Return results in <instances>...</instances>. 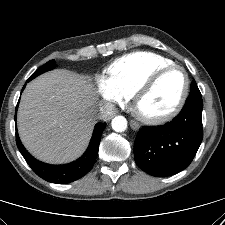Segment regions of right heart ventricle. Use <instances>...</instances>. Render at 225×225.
<instances>
[{
	"label": "right heart ventricle",
	"instance_id": "obj_1",
	"mask_svg": "<svg viewBox=\"0 0 225 225\" xmlns=\"http://www.w3.org/2000/svg\"><path fill=\"white\" fill-rule=\"evenodd\" d=\"M173 64V61L151 52H133L116 60L108 69V79L126 97H131L139 85L153 72Z\"/></svg>",
	"mask_w": 225,
	"mask_h": 225
}]
</instances>
